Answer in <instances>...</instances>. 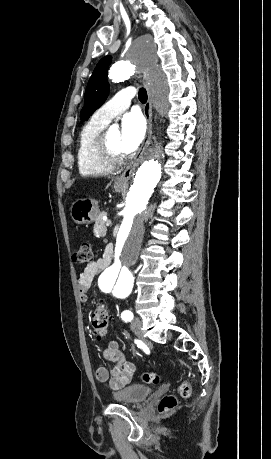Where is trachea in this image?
Masks as SVG:
<instances>
[{"label": "trachea", "mask_w": 271, "mask_h": 459, "mask_svg": "<svg viewBox=\"0 0 271 459\" xmlns=\"http://www.w3.org/2000/svg\"><path fill=\"white\" fill-rule=\"evenodd\" d=\"M138 96H139L140 102L144 104L147 102V92L144 88H140Z\"/></svg>", "instance_id": "1"}]
</instances>
